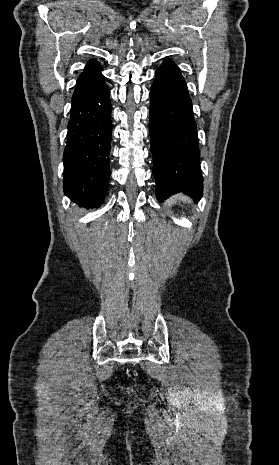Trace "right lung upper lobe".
Listing matches in <instances>:
<instances>
[{"label": "right lung upper lobe", "instance_id": "cb5924a9", "mask_svg": "<svg viewBox=\"0 0 279 465\" xmlns=\"http://www.w3.org/2000/svg\"><path fill=\"white\" fill-rule=\"evenodd\" d=\"M101 71L102 68L100 64L91 59L84 68V72L80 75V77L77 80L73 97L76 93H78L81 90H84L87 86L94 83L99 78L103 77Z\"/></svg>", "mask_w": 279, "mask_h": 465}]
</instances>
